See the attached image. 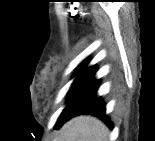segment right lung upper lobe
<instances>
[{
	"label": "right lung upper lobe",
	"mask_w": 155,
	"mask_h": 141,
	"mask_svg": "<svg viewBox=\"0 0 155 141\" xmlns=\"http://www.w3.org/2000/svg\"><path fill=\"white\" fill-rule=\"evenodd\" d=\"M86 65H87V63H82V64L80 65V67H79V71L84 70L85 67H86ZM84 72H93V73H95V72H96V66H92V67H90V68H88V69H85Z\"/></svg>",
	"instance_id": "cb5924a9"
}]
</instances>
